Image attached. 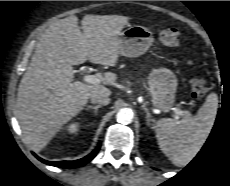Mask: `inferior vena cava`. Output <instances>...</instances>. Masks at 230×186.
Returning <instances> with one entry per match:
<instances>
[{
  "label": "inferior vena cava",
  "instance_id": "1",
  "mask_svg": "<svg viewBox=\"0 0 230 186\" xmlns=\"http://www.w3.org/2000/svg\"><path fill=\"white\" fill-rule=\"evenodd\" d=\"M90 100L92 103H97L99 105H108L110 103L109 96L102 93H93L90 96Z\"/></svg>",
  "mask_w": 230,
  "mask_h": 186
}]
</instances>
